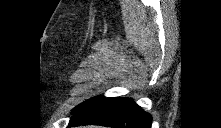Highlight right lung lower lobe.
I'll list each match as a JSON object with an SVG mask.
<instances>
[{
  "mask_svg": "<svg viewBox=\"0 0 221 128\" xmlns=\"http://www.w3.org/2000/svg\"><path fill=\"white\" fill-rule=\"evenodd\" d=\"M152 117L129 98H103L73 113L69 126L151 128Z\"/></svg>",
  "mask_w": 221,
  "mask_h": 128,
  "instance_id": "1",
  "label": "right lung lower lobe"
}]
</instances>
